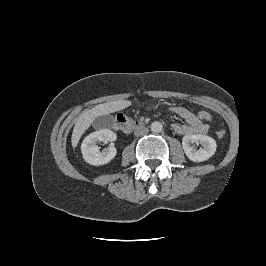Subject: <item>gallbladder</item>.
<instances>
[{"label": "gallbladder", "mask_w": 266, "mask_h": 266, "mask_svg": "<svg viewBox=\"0 0 266 266\" xmlns=\"http://www.w3.org/2000/svg\"><path fill=\"white\" fill-rule=\"evenodd\" d=\"M113 124H114V118L111 115L99 116L93 122V125L96 128L112 127Z\"/></svg>", "instance_id": "obj_1"}]
</instances>
